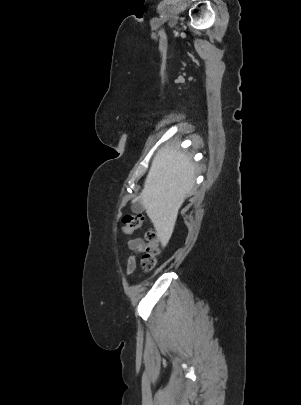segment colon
Wrapping results in <instances>:
<instances>
[{
  "mask_svg": "<svg viewBox=\"0 0 301 405\" xmlns=\"http://www.w3.org/2000/svg\"><path fill=\"white\" fill-rule=\"evenodd\" d=\"M143 221L142 214H127L122 219V231L126 234L132 233L142 226ZM146 242L141 265L144 270H151L156 264L157 256L160 254L159 237L153 229L146 232Z\"/></svg>",
  "mask_w": 301,
  "mask_h": 405,
  "instance_id": "1",
  "label": "colon"
}]
</instances>
